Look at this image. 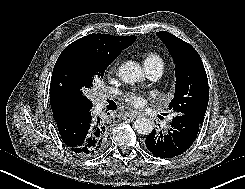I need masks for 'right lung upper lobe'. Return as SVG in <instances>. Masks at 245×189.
I'll return each instance as SVG.
<instances>
[{
	"mask_svg": "<svg viewBox=\"0 0 245 189\" xmlns=\"http://www.w3.org/2000/svg\"><path fill=\"white\" fill-rule=\"evenodd\" d=\"M136 38V36L89 34L68 45L57 59L51 78L50 104L54 119L74 111L65 104L56 85L59 71L64 65L80 57H93L111 64L123 49L134 43Z\"/></svg>",
	"mask_w": 245,
	"mask_h": 189,
	"instance_id": "cb5924a9",
	"label": "right lung upper lobe"
}]
</instances>
